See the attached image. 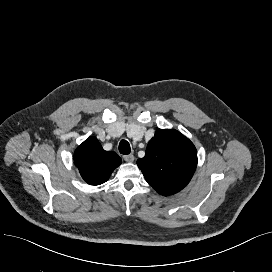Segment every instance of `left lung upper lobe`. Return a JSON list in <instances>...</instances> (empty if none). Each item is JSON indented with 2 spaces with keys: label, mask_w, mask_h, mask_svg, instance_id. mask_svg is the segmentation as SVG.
<instances>
[{
  "label": "left lung upper lobe",
  "mask_w": 272,
  "mask_h": 272,
  "mask_svg": "<svg viewBox=\"0 0 272 272\" xmlns=\"http://www.w3.org/2000/svg\"><path fill=\"white\" fill-rule=\"evenodd\" d=\"M137 165L146 181L159 194L168 196L182 190L191 180L197 166V151L179 131L158 129Z\"/></svg>",
  "instance_id": "5c2ea615"
}]
</instances>
